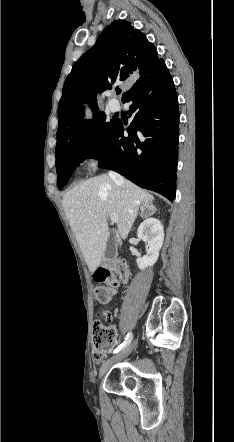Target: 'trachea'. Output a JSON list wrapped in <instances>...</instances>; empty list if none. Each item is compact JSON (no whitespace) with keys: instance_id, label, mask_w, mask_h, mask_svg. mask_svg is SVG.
Returning a JSON list of instances; mask_svg holds the SVG:
<instances>
[{"instance_id":"trachea-1","label":"trachea","mask_w":234,"mask_h":442,"mask_svg":"<svg viewBox=\"0 0 234 442\" xmlns=\"http://www.w3.org/2000/svg\"><path fill=\"white\" fill-rule=\"evenodd\" d=\"M120 93H121V90H120V89L116 90V94H117V95H119Z\"/></svg>"}]
</instances>
